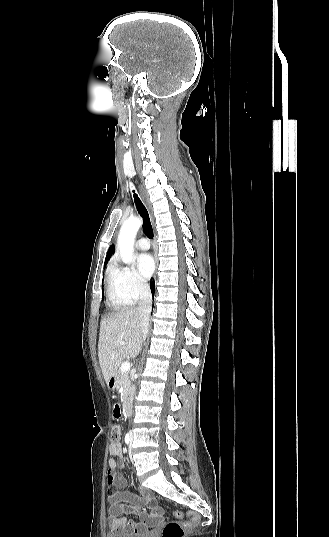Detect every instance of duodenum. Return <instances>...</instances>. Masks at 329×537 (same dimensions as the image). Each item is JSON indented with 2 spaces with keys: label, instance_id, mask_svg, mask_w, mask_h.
Masks as SVG:
<instances>
[{
  "label": "duodenum",
  "instance_id": "1",
  "mask_svg": "<svg viewBox=\"0 0 329 537\" xmlns=\"http://www.w3.org/2000/svg\"><path fill=\"white\" fill-rule=\"evenodd\" d=\"M115 385H116V381H115V379H111V380L109 381V387H110V388H114ZM122 406H123V410H124V412H125L126 414H129V413H130V406H129V404H128L127 402H124Z\"/></svg>",
  "mask_w": 329,
  "mask_h": 537
}]
</instances>
